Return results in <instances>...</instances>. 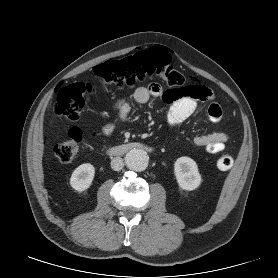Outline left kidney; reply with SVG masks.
Wrapping results in <instances>:
<instances>
[{
	"label": "left kidney",
	"mask_w": 278,
	"mask_h": 278,
	"mask_svg": "<svg viewBox=\"0 0 278 278\" xmlns=\"http://www.w3.org/2000/svg\"><path fill=\"white\" fill-rule=\"evenodd\" d=\"M174 173L177 183L183 190L192 191L201 184V175L199 174L196 162L189 157H180L174 164Z\"/></svg>",
	"instance_id": "obj_1"
}]
</instances>
